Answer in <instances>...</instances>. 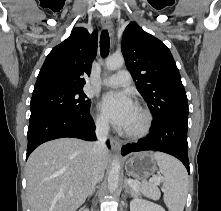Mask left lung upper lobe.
<instances>
[{
	"label": "left lung upper lobe",
	"instance_id": "left-lung-upper-lobe-1",
	"mask_svg": "<svg viewBox=\"0 0 221 211\" xmlns=\"http://www.w3.org/2000/svg\"><path fill=\"white\" fill-rule=\"evenodd\" d=\"M121 50L137 89L153 114V123L170 115H188L178 68L163 42L131 22L124 31Z\"/></svg>",
	"mask_w": 221,
	"mask_h": 211
}]
</instances>
